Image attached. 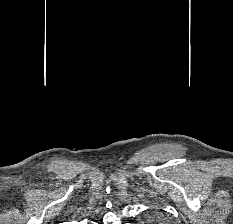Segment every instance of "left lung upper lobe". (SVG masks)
Wrapping results in <instances>:
<instances>
[{"instance_id":"1","label":"left lung upper lobe","mask_w":233,"mask_h":224,"mask_svg":"<svg viewBox=\"0 0 233 224\" xmlns=\"http://www.w3.org/2000/svg\"><path fill=\"white\" fill-rule=\"evenodd\" d=\"M150 221L152 222V224H158L163 221V217H161L160 215H153L150 218Z\"/></svg>"}]
</instances>
